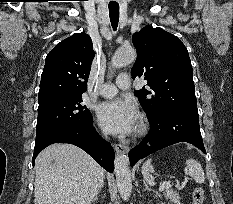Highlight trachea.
<instances>
[{
	"label": "trachea",
	"instance_id": "trachea-1",
	"mask_svg": "<svg viewBox=\"0 0 233 204\" xmlns=\"http://www.w3.org/2000/svg\"><path fill=\"white\" fill-rule=\"evenodd\" d=\"M109 17L113 29L116 30L119 22V5H109Z\"/></svg>",
	"mask_w": 233,
	"mask_h": 204
}]
</instances>
